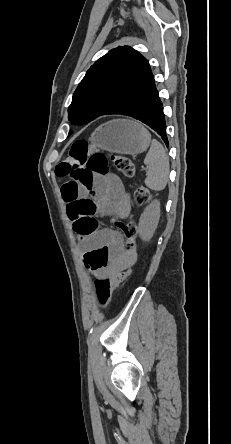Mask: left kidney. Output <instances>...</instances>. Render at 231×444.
<instances>
[{
  "label": "left kidney",
  "mask_w": 231,
  "mask_h": 444,
  "mask_svg": "<svg viewBox=\"0 0 231 444\" xmlns=\"http://www.w3.org/2000/svg\"><path fill=\"white\" fill-rule=\"evenodd\" d=\"M160 219V202L152 201L141 214L138 233L142 240L149 241L158 226Z\"/></svg>",
  "instance_id": "5707ae66"
}]
</instances>
